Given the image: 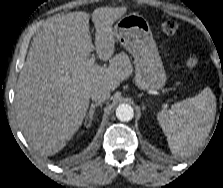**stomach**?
<instances>
[{"mask_svg": "<svg viewBox=\"0 0 223 188\" xmlns=\"http://www.w3.org/2000/svg\"><path fill=\"white\" fill-rule=\"evenodd\" d=\"M113 31L120 44L134 57L138 88H162L166 74L147 20L138 14L125 15L117 20ZM124 61L129 66V62Z\"/></svg>", "mask_w": 223, "mask_h": 188, "instance_id": "0dacf381", "label": "stomach"}]
</instances>
